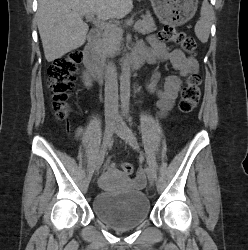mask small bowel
I'll return each instance as SVG.
<instances>
[{
    "instance_id": "small-bowel-1",
    "label": "small bowel",
    "mask_w": 248,
    "mask_h": 250,
    "mask_svg": "<svg viewBox=\"0 0 248 250\" xmlns=\"http://www.w3.org/2000/svg\"><path fill=\"white\" fill-rule=\"evenodd\" d=\"M149 47L141 46L139 52L147 56V61L150 63H157L162 61H169L180 74V76H168L165 80L164 87L157 89L158 73L155 72L149 81V88L156 92L157 101L156 106L162 115L167 114L173 107L174 102L178 96L182 77H186L199 69L198 62L187 56L182 50L174 49L168 50L166 44L157 36L149 38ZM82 135V129H77V136Z\"/></svg>"
}]
</instances>
